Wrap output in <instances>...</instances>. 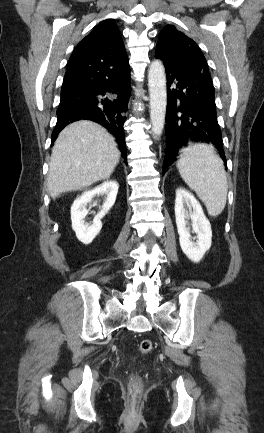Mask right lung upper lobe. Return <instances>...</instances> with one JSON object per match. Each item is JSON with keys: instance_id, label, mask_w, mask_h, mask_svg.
Returning <instances> with one entry per match:
<instances>
[{"instance_id": "right-lung-upper-lobe-1", "label": "right lung upper lobe", "mask_w": 264, "mask_h": 433, "mask_svg": "<svg viewBox=\"0 0 264 433\" xmlns=\"http://www.w3.org/2000/svg\"><path fill=\"white\" fill-rule=\"evenodd\" d=\"M128 63L122 36L112 19L101 21L75 48L67 70Z\"/></svg>"}]
</instances>
